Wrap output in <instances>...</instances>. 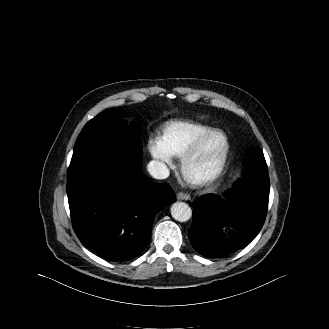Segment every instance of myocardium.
<instances>
[{
  "mask_svg": "<svg viewBox=\"0 0 329 329\" xmlns=\"http://www.w3.org/2000/svg\"><path fill=\"white\" fill-rule=\"evenodd\" d=\"M220 134L224 138V147L222 150L220 161L217 167L208 175L195 178L189 175L188 167L190 162L198 155L204 143L213 135ZM231 150V144L227 134L221 129H211L198 137L188 150L181 156L180 170L185 180L197 187L207 186L217 180L226 168Z\"/></svg>",
  "mask_w": 329,
  "mask_h": 329,
  "instance_id": "myocardium-1",
  "label": "myocardium"
}]
</instances>
